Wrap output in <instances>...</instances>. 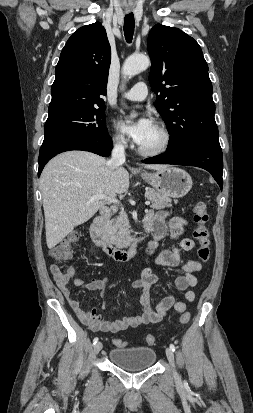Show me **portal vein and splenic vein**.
Here are the masks:
<instances>
[{
	"instance_id": "1",
	"label": "portal vein and splenic vein",
	"mask_w": 253,
	"mask_h": 413,
	"mask_svg": "<svg viewBox=\"0 0 253 413\" xmlns=\"http://www.w3.org/2000/svg\"><path fill=\"white\" fill-rule=\"evenodd\" d=\"M102 199H107V197L103 194H99V195H94L92 196L89 201H95V200H102ZM109 202L117 204L119 203V201L116 198H110L108 199ZM145 205L149 206L150 205V201H146Z\"/></svg>"
}]
</instances>
